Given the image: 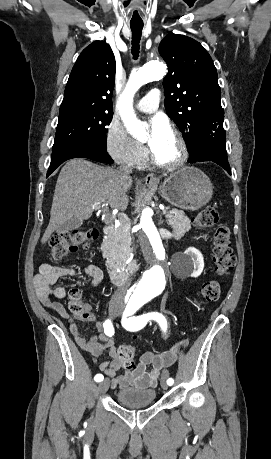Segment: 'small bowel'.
<instances>
[{
	"label": "small bowel",
	"instance_id": "obj_1",
	"mask_svg": "<svg viewBox=\"0 0 271 459\" xmlns=\"http://www.w3.org/2000/svg\"><path fill=\"white\" fill-rule=\"evenodd\" d=\"M83 272L91 277L92 286H97L102 281V271L95 265L87 266ZM76 274L77 270L73 267L43 264L34 279L36 295L41 303L63 319H68L66 309L61 303L52 301L50 297L65 298L67 290L55 284L61 278L73 277ZM86 309L88 313L81 319L94 323L95 334L88 338L82 336L75 323H69V331L74 336L76 343L93 356L99 357L104 354L109 356V360L99 364V370L108 378L112 388H125L130 385L141 388L155 387L161 371L174 364L178 348L187 343L186 340H183L178 345L159 354L145 352L140 356L134 368L127 369L119 358L113 338L105 334L103 324L96 320L91 308L86 306ZM121 370H123L122 373H120Z\"/></svg>",
	"mask_w": 271,
	"mask_h": 459
}]
</instances>
